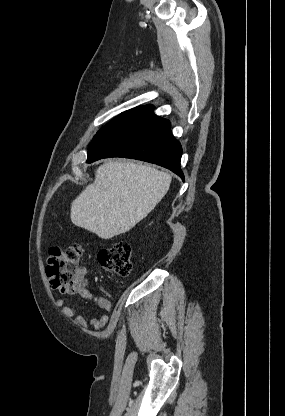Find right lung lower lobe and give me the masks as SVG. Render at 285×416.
I'll return each instance as SVG.
<instances>
[{
	"instance_id": "1",
	"label": "right lung lower lobe",
	"mask_w": 285,
	"mask_h": 416,
	"mask_svg": "<svg viewBox=\"0 0 285 416\" xmlns=\"http://www.w3.org/2000/svg\"><path fill=\"white\" fill-rule=\"evenodd\" d=\"M87 154V163L108 157L133 158L168 168L184 180L181 145L171 133L170 122L156 115L121 130Z\"/></svg>"
}]
</instances>
